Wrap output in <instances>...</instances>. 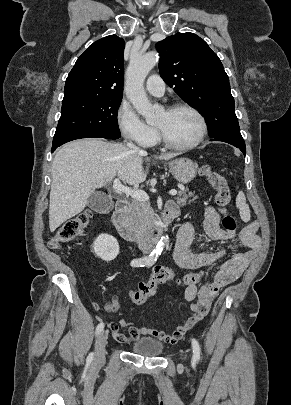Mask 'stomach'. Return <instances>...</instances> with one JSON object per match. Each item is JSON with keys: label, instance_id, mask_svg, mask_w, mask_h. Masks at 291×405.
Returning <instances> with one entry per match:
<instances>
[{"label": "stomach", "instance_id": "obj_1", "mask_svg": "<svg viewBox=\"0 0 291 405\" xmlns=\"http://www.w3.org/2000/svg\"><path fill=\"white\" fill-rule=\"evenodd\" d=\"M168 166L174 178L182 184L191 182L195 178L198 169L197 164L188 158L172 160L168 163Z\"/></svg>", "mask_w": 291, "mask_h": 405}]
</instances>
